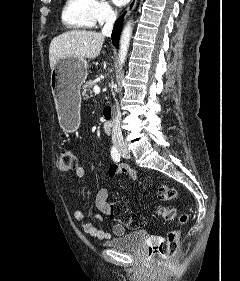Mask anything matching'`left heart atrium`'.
Returning <instances> with one entry per match:
<instances>
[{
	"instance_id": "obj_1",
	"label": "left heart atrium",
	"mask_w": 240,
	"mask_h": 281,
	"mask_svg": "<svg viewBox=\"0 0 240 281\" xmlns=\"http://www.w3.org/2000/svg\"><path fill=\"white\" fill-rule=\"evenodd\" d=\"M130 0H113V2L118 6H123L128 3Z\"/></svg>"
}]
</instances>
